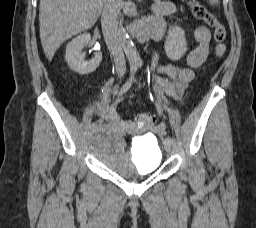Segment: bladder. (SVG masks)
Here are the masks:
<instances>
[{"label":"bladder","instance_id":"bladder-1","mask_svg":"<svg viewBox=\"0 0 256 228\" xmlns=\"http://www.w3.org/2000/svg\"><path fill=\"white\" fill-rule=\"evenodd\" d=\"M89 148L110 171L123 179H133L154 173L161 164L162 151L155 139L135 142L133 152L124 148L123 134L114 128L100 126L91 135Z\"/></svg>","mask_w":256,"mask_h":228}]
</instances>
